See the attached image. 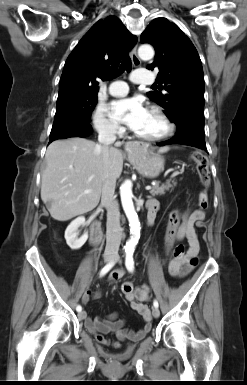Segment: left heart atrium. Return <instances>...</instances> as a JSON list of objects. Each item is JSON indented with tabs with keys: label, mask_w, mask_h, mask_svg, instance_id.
<instances>
[{
	"label": "left heart atrium",
	"mask_w": 247,
	"mask_h": 385,
	"mask_svg": "<svg viewBox=\"0 0 247 385\" xmlns=\"http://www.w3.org/2000/svg\"><path fill=\"white\" fill-rule=\"evenodd\" d=\"M110 112L113 119L136 130L146 118L148 110L139 98H125L114 101Z\"/></svg>",
	"instance_id": "obj_1"
}]
</instances>
